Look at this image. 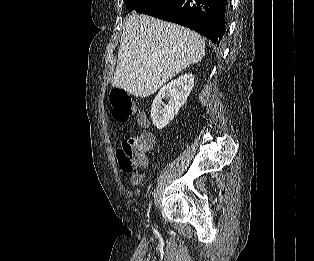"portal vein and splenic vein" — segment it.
Masks as SVG:
<instances>
[{
    "label": "portal vein and splenic vein",
    "mask_w": 314,
    "mask_h": 261,
    "mask_svg": "<svg viewBox=\"0 0 314 261\" xmlns=\"http://www.w3.org/2000/svg\"><path fill=\"white\" fill-rule=\"evenodd\" d=\"M158 71H162V69L158 68Z\"/></svg>",
    "instance_id": "obj_1"
}]
</instances>
